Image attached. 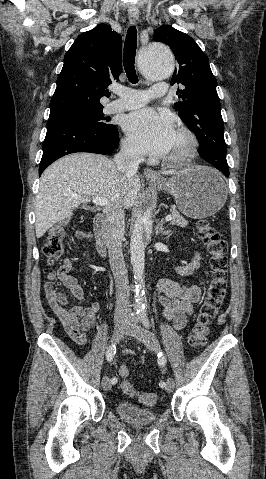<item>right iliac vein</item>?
Wrapping results in <instances>:
<instances>
[{
    "label": "right iliac vein",
    "mask_w": 266,
    "mask_h": 479,
    "mask_svg": "<svg viewBox=\"0 0 266 479\" xmlns=\"http://www.w3.org/2000/svg\"><path fill=\"white\" fill-rule=\"evenodd\" d=\"M127 328V323L119 322L115 325L112 340L113 342H119L125 333ZM102 387L105 391H109L111 389V382L108 377H104L102 380Z\"/></svg>",
    "instance_id": "right-iliac-vein-1"
}]
</instances>
